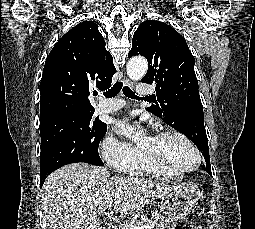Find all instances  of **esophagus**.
Here are the masks:
<instances>
[{
    "instance_id": "34e87169",
    "label": "esophagus",
    "mask_w": 255,
    "mask_h": 229,
    "mask_svg": "<svg viewBox=\"0 0 255 229\" xmlns=\"http://www.w3.org/2000/svg\"><path fill=\"white\" fill-rule=\"evenodd\" d=\"M123 82L125 85L133 86V83L126 76H124Z\"/></svg>"
}]
</instances>
